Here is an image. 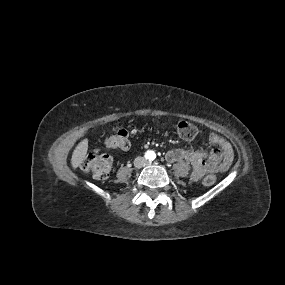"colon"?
<instances>
[{
    "mask_svg": "<svg viewBox=\"0 0 285 285\" xmlns=\"http://www.w3.org/2000/svg\"><path fill=\"white\" fill-rule=\"evenodd\" d=\"M177 132L182 139L192 140L197 136V127L187 121H181L177 124ZM108 147L114 149H127L130 146L128 131L122 126H115L111 135L105 141ZM84 172L91 174L95 179L103 180L109 175L111 169V158L108 154L99 150L88 153L81 163ZM216 176L208 174L203 178V184L213 185Z\"/></svg>",
    "mask_w": 285,
    "mask_h": 285,
    "instance_id": "obj_1",
    "label": "colon"
}]
</instances>
